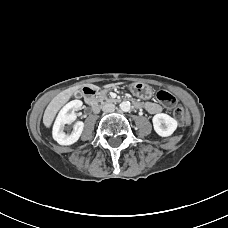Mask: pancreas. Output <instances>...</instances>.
Returning a JSON list of instances; mask_svg holds the SVG:
<instances>
[{"instance_id":"cf45deb5","label":"pancreas","mask_w":228,"mask_h":228,"mask_svg":"<svg viewBox=\"0 0 228 228\" xmlns=\"http://www.w3.org/2000/svg\"><path fill=\"white\" fill-rule=\"evenodd\" d=\"M108 94H109L108 90L102 91L98 96V101L101 102V104H104L106 102H113V99L107 96Z\"/></svg>"}]
</instances>
